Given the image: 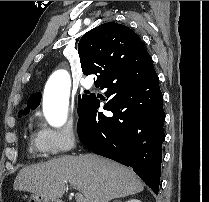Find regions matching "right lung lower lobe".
<instances>
[{"mask_svg":"<svg viewBox=\"0 0 209 202\" xmlns=\"http://www.w3.org/2000/svg\"><path fill=\"white\" fill-rule=\"evenodd\" d=\"M144 73L132 75L123 86L112 81L107 88L110 100L105 114L98 111L100 100L93 94L79 116L78 135L82 144L98 155L132 167L134 172L158 194L165 114L163 95L152 59L144 56Z\"/></svg>","mask_w":209,"mask_h":202,"instance_id":"obj_1","label":"right lung lower lobe"}]
</instances>
